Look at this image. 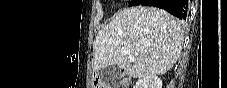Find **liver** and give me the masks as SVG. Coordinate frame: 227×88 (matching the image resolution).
Segmentation results:
<instances>
[{"mask_svg":"<svg viewBox=\"0 0 227 88\" xmlns=\"http://www.w3.org/2000/svg\"><path fill=\"white\" fill-rule=\"evenodd\" d=\"M184 32L165 10L141 6L119 10L96 36L93 70L115 65L127 75H163L176 63ZM123 49H129L132 61Z\"/></svg>","mask_w":227,"mask_h":88,"instance_id":"liver-1","label":"liver"}]
</instances>
